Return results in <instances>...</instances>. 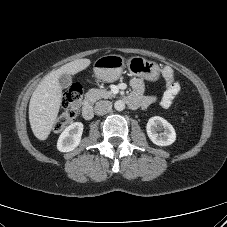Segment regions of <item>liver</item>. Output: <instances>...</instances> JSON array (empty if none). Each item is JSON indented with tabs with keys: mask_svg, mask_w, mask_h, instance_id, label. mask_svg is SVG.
I'll return each instance as SVG.
<instances>
[{
	"mask_svg": "<svg viewBox=\"0 0 227 227\" xmlns=\"http://www.w3.org/2000/svg\"><path fill=\"white\" fill-rule=\"evenodd\" d=\"M90 64V59L74 60L50 72L38 84L29 103V122L37 139L46 140L56 122L62 102V87L59 83V76L77 74Z\"/></svg>",
	"mask_w": 227,
	"mask_h": 227,
	"instance_id": "liver-1",
	"label": "liver"
}]
</instances>
